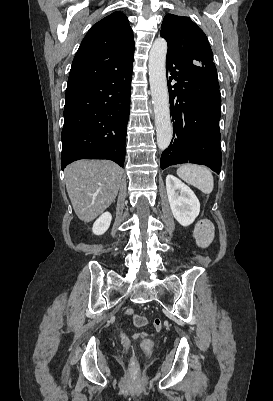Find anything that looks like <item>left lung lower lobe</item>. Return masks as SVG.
I'll return each mask as SVG.
<instances>
[{"label":"left lung lower lobe","mask_w":273,"mask_h":401,"mask_svg":"<svg viewBox=\"0 0 273 401\" xmlns=\"http://www.w3.org/2000/svg\"><path fill=\"white\" fill-rule=\"evenodd\" d=\"M166 71L169 83H177L168 85L173 139L161 155V169L189 162L219 173L221 95L215 64L198 66L167 54Z\"/></svg>","instance_id":"1"}]
</instances>
